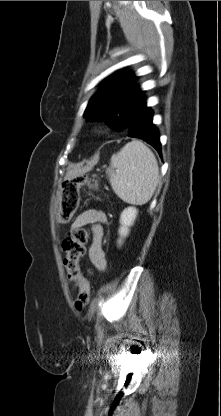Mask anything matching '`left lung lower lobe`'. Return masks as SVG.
<instances>
[{"mask_svg": "<svg viewBox=\"0 0 221 416\" xmlns=\"http://www.w3.org/2000/svg\"><path fill=\"white\" fill-rule=\"evenodd\" d=\"M152 110L146 106L144 100L136 109L131 122L128 126V136L139 138L153 146L161 156V143L159 132L152 123Z\"/></svg>", "mask_w": 221, "mask_h": 416, "instance_id": "1", "label": "left lung lower lobe"}]
</instances>
